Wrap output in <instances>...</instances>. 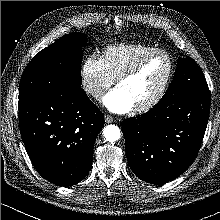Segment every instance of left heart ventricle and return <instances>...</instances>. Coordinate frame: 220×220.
I'll return each mask as SVG.
<instances>
[{"instance_id":"left-heart-ventricle-1","label":"left heart ventricle","mask_w":220,"mask_h":220,"mask_svg":"<svg viewBox=\"0 0 220 220\" xmlns=\"http://www.w3.org/2000/svg\"><path fill=\"white\" fill-rule=\"evenodd\" d=\"M169 62L164 55L149 57L134 76L119 83L138 106L151 99L162 86L168 73Z\"/></svg>"}]
</instances>
